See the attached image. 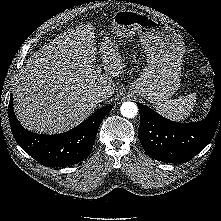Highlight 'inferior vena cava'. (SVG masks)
Listing matches in <instances>:
<instances>
[{"mask_svg": "<svg viewBox=\"0 0 221 221\" xmlns=\"http://www.w3.org/2000/svg\"><path fill=\"white\" fill-rule=\"evenodd\" d=\"M106 98H107V94H106V92L103 91V90L94 92V93L92 94V99H93L95 102H97V103L103 101V100L106 99Z\"/></svg>", "mask_w": 221, "mask_h": 221, "instance_id": "inferior-vena-cava-1", "label": "inferior vena cava"}]
</instances>
